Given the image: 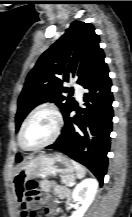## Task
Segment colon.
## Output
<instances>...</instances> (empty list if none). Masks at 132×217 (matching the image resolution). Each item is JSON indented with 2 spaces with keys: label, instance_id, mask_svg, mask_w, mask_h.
<instances>
[{
  "label": "colon",
  "instance_id": "1",
  "mask_svg": "<svg viewBox=\"0 0 132 217\" xmlns=\"http://www.w3.org/2000/svg\"><path fill=\"white\" fill-rule=\"evenodd\" d=\"M23 195H24L25 200L28 202L39 199L40 191L38 188V184L35 180H30L26 183ZM28 217H32V215L28 214Z\"/></svg>",
  "mask_w": 132,
  "mask_h": 217
}]
</instances>
